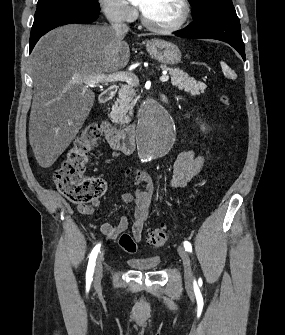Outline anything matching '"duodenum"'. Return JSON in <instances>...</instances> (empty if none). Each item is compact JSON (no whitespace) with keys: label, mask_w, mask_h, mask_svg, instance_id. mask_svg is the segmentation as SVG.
Wrapping results in <instances>:
<instances>
[{"label":"duodenum","mask_w":285,"mask_h":335,"mask_svg":"<svg viewBox=\"0 0 285 335\" xmlns=\"http://www.w3.org/2000/svg\"><path fill=\"white\" fill-rule=\"evenodd\" d=\"M118 87L116 85L107 88L100 97V101L103 104L109 103L115 96ZM102 131L104 137L109 145L116 151L123 154H130L135 149V126L130 125L124 128H120L113 124L108 119L101 121Z\"/></svg>","instance_id":"410a0bca"}]
</instances>
